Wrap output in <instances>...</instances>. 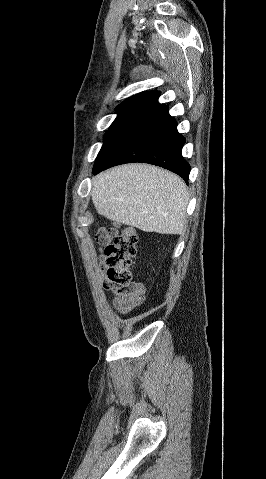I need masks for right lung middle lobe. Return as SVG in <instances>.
<instances>
[{
	"instance_id": "dd1d6c3e",
	"label": "right lung middle lobe",
	"mask_w": 266,
	"mask_h": 479,
	"mask_svg": "<svg viewBox=\"0 0 266 479\" xmlns=\"http://www.w3.org/2000/svg\"><path fill=\"white\" fill-rule=\"evenodd\" d=\"M135 116L136 113L123 112L118 114L117 118L114 120V122L104 136L105 142L99 154L104 150V148L108 145L112 138Z\"/></svg>"
}]
</instances>
